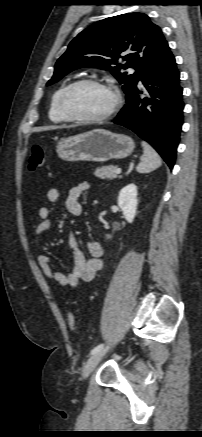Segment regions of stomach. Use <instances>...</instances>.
<instances>
[{
	"mask_svg": "<svg viewBox=\"0 0 202 437\" xmlns=\"http://www.w3.org/2000/svg\"><path fill=\"white\" fill-rule=\"evenodd\" d=\"M134 147L129 136L95 129L61 140L56 152L65 161L107 162L130 156Z\"/></svg>",
	"mask_w": 202,
	"mask_h": 437,
	"instance_id": "stomach-1",
	"label": "stomach"
}]
</instances>
